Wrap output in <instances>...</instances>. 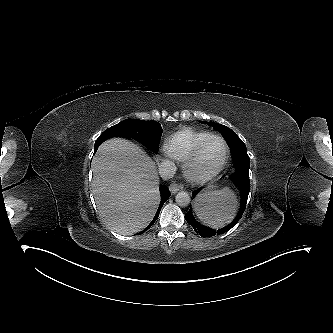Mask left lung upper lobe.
Wrapping results in <instances>:
<instances>
[{
  "label": "left lung upper lobe",
  "instance_id": "obj_1",
  "mask_svg": "<svg viewBox=\"0 0 333 333\" xmlns=\"http://www.w3.org/2000/svg\"><path fill=\"white\" fill-rule=\"evenodd\" d=\"M203 123L206 124V122ZM208 124L213 126V128L223 134L231 149L233 162L235 163L237 171L233 175H231L230 178L237 179L242 175L249 174L250 160L246 152V146L243 141L237 136V134L233 130L224 125L214 122H208Z\"/></svg>",
  "mask_w": 333,
  "mask_h": 333
}]
</instances>
